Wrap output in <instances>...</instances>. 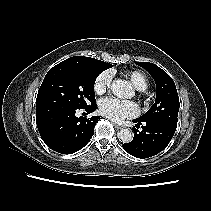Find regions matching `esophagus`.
<instances>
[{
    "mask_svg": "<svg viewBox=\"0 0 211 211\" xmlns=\"http://www.w3.org/2000/svg\"><path fill=\"white\" fill-rule=\"evenodd\" d=\"M113 125L115 126L116 129H122L124 126L117 124V123H113Z\"/></svg>",
    "mask_w": 211,
    "mask_h": 211,
    "instance_id": "34e87169",
    "label": "esophagus"
}]
</instances>
